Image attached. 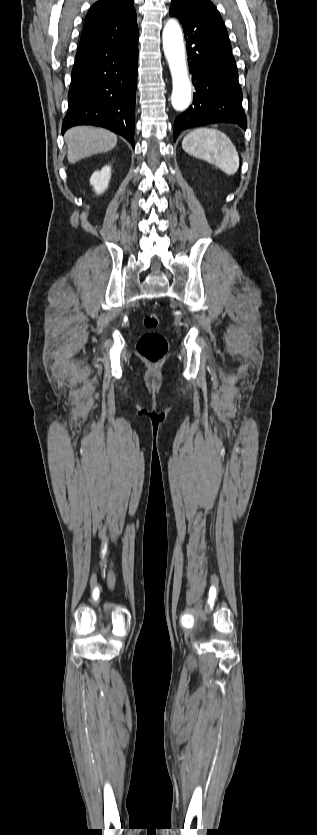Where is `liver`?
<instances>
[{"mask_svg": "<svg viewBox=\"0 0 317 835\" xmlns=\"http://www.w3.org/2000/svg\"><path fill=\"white\" fill-rule=\"evenodd\" d=\"M67 159L74 164L82 158L107 152L117 144V136L102 128L77 126L65 133Z\"/></svg>", "mask_w": 317, "mask_h": 835, "instance_id": "obj_1", "label": "liver"}]
</instances>
